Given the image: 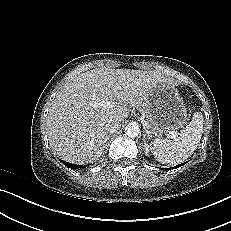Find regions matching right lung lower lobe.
Returning <instances> with one entry per match:
<instances>
[{
  "label": "right lung lower lobe",
  "mask_w": 231,
  "mask_h": 231,
  "mask_svg": "<svg viewBox=\"0 0 231 231\" xmlns=\"http://www.w3.org/2000/svg\"><path fill=\"white\" fill-rule=\"evenodd\" d=\"M64 165H66L67 167L69 168H72V169H77V168H80L82 167L81 165H76V164H72V163H69V162H65L63 160H60Z\"/></svg>",
  "instance_id": "right-lung-lower-lobe-1"
}]
</instances>
